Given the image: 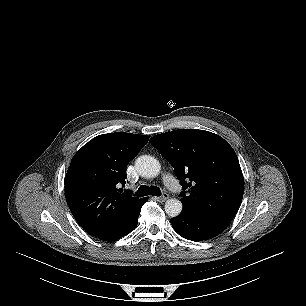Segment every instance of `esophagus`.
Masks as SVG:
<instances>
[{
    "label": "esophagus",
    "instance_id": "1",
    "mask_svg": "<svg viewBox=\"0 0 306 306\" xmlns=\"http://www.w3.org/2000/svg\"><path fill=\"white\" fill-rule=\"evenodd\" d=\"M169 198V195L167 193H164L162 196L160 197H155V200L158 202H165L167 201Z\"/></svg>",
    "mask_w": 306,
    "mask_h": 306
}]
</instances>
